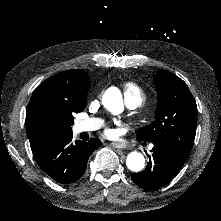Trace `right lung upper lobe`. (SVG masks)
Wrapping results in <instances>:
<instances>
[{"instance_id": "1", "label": "right lung upper lobe", "mask_w": 221, "mask_h": 221, "mask_svg": "<svg viewBox=\"0 0 221 221\" xmlns=\"http://www.w3.org/2000/svg\"><path fill=\"white\" fill-rule=\"evenodd\" d=\"M89 89V75L84 70H67L43 81L34 91L26 110V131L32 152L42 147L31 130V107L39 99H49L62 105L84 110Z\"/></svg>"}]
</instances>
